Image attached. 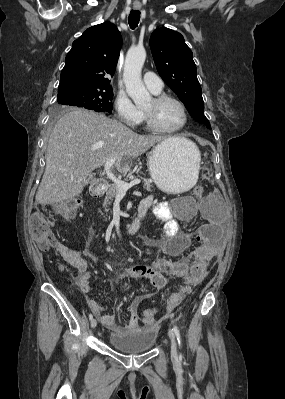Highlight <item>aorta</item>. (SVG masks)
<instances>
[{
	"instance_id": "1",
	"label": "aorta",
	"mask_w": 285,
	"mask_h": 399,
	"mask_svg": "<svg viewBox=\"0 0 285 399\" xmlns=\"http://www.w3.org/2000/svg\"><path fill=\"white\" fill-rule=\"evenodd\" d=\"M146 59V51L143 47L129 49L125 59L123 79L128 95L136 106H143L151 100L150 93L145 88L141 71Z\"/></svg>"
}]
</instances>
